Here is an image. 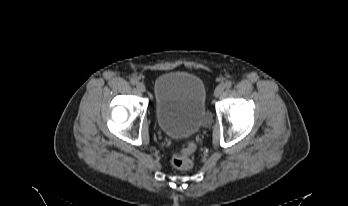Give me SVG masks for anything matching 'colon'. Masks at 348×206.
<instances>
[{
    "label": "colon",
    "instance_id": "obj_1",
    "mask_svg": "<svg viewBox=\"0 0 348 206\" xmlns=\"http://www.w3.org/2000/svg\"><path fill=\"white\" fill-rule=\"evenodd\" d=\"M195 145L189 143L187 147L182 149L179 153L174 154L171 158V165L179 170H187L192 166L190 154L194 151Z\"/></svg>",
    "mask_w": 348,
    "mask_h": 206
}]
</instances>
